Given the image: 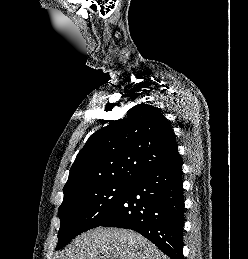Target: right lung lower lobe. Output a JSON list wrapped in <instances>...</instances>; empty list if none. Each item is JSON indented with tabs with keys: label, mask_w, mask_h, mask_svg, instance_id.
<instances>
[{
	"label": "right lung lower lobe",
	"mask_w": 248,
	"mask_h": 259,
	"mask_svg": "<svg viewBox=\"0 0 248 259\" xmlns=\"http://www.w3.org/2000/svg\"><path fill=\"white\" fill-rule=\"evenodd\" d=\"M182 174V164L177 158L137 176L98 226L132 229L171 259H183Z\"/></svg>",
	"instance_id": "98d812e1"
}]
</instances>
